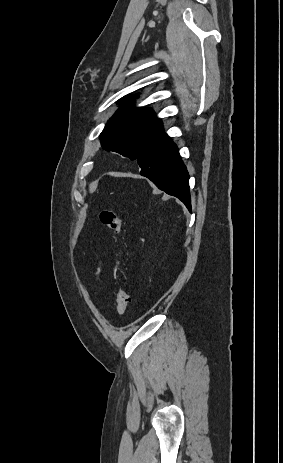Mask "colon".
<instances>
[{
    "instance_id": "5ec220e1",
    "label": "colon",
    "mask_w": 283,
    "mask_h": 463,
    "mask_svg": "<svg viewBox=\"0 0 283 463\" xmlns=\"http://www.w3.org/2000/svg\"><path fill=\"white\" fill-rule=\"evenodd\" d=\"M101 222L111 231L120 234L123 230L121 219L116 212L112 210H105L101 213ZM129 298L125 289L124 283H121L117 292V306L116 312L118 316L122 317L128 307Z\"/></svg>"
}]
</instances>
